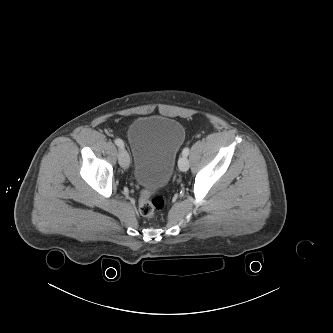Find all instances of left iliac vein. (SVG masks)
Returning <instances> with one entry per match:
<instances>
[{
	"mask_svg": "<svg viewBox=\"0 0 333 333\" xmlns=\"http://www.w3.org/2000/svg\"><path fill=\"white\" fill-rule=\"evenodd\" d=\"M178 167L181 171L186 172L189 169V160L183 156L178 161Z\"/></svg>",
	"mask_w": 333,
	"mask_h": 333,
	"instance_id": "4c4485c4",
	"label": "left iliac vein"
}]
</instances>
